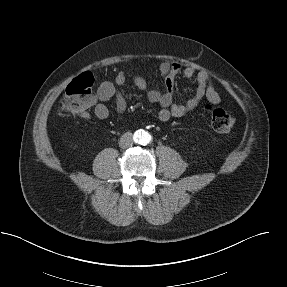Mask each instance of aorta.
Returning a JSON list of instances; mask_svg holds the SVG:
<instances>
[{"mask_svg":"<svg viewBox=\"0 0 287 287\" xmlns=\"http://www.w3.org/2000/svg\"><path fill=\"white\" fill-rule=\"evenodd\" d=\"M151 140V136L147 132H142L141 139L139 140L142 144H148Z\"/></svg>","mask_w":287,"mask_h":287,"instance_id":"1","label":"aorta"}]
</instances>
